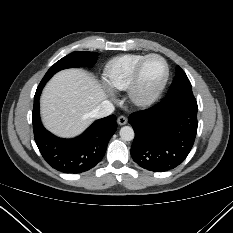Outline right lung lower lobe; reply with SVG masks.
Segmentation results:
<instances>
[{"mask_svg":"<svg viewBox=\"0 0 233 233\" xmlns=\"http://www.w3.org/2000/svg\"><path fill=\"white\" fill-rule=\"evenodd\" d=\"M44 86L34 96L32 113L34 138L45 161L64 173H81L96 166L104 157L108 142L117 129L116 116L95 121L83 134L62 139L48 132L39 115V98Z\"/></svg>","mask_w":233,"mask_h":233,"instance_id":"98d812e1","label":"right lung lower lobe"}]
</instances>
